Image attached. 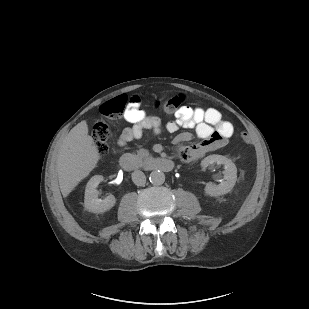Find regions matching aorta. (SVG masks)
Segmentation results:
<instances>
[{"mask_svg":"<svg viewBox=\"0 0 309 309\" xmlns=\"http://www.w3.org/2000/svg\"><path fill=\"white\" fill-rule=\"evenodd\" d=\"M149 180L153 185H162L165 182V174L159 170L152 171Z\"/></svg>","mask_w":309,"mask_h":309,"instance_id":"1","label":"aorta"}]
</instances>
